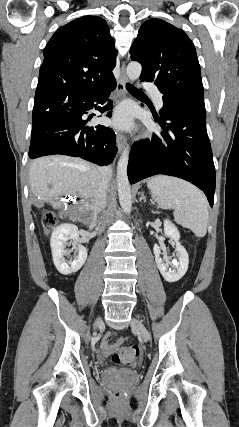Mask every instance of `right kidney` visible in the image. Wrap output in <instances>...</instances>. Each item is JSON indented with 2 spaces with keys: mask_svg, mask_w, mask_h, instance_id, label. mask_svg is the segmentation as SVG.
<instances>
[{
  "mask_svg": "<svg viewBox=\"0 0 239 427\" xmlns=\"http://www.w3.org/2000/svg\"><path fill=\"white\" fill-rule=\"evenodd\" d=\"M70 240V242H68ZM73 245L78 255L73 260L66 261L65 249L68 244ZM53 262L57 270L63 275H69L81 269L87 259V249L79 243L78 227L74 224H61L56 227L50 240Z\"/></svg>",
  "mask_w": 239,
  "mask_h": 427,
  "instance_id": "1",
  "label": "right kidney"
}]
</instances>
